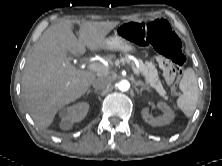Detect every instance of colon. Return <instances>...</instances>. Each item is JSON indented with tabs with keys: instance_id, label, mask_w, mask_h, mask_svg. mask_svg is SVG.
I'll list each match as a JSON object with an SVG mask.
<instances>
[{
	"instance_id": "obj_1",
	"label": "colon",
	"mask_w": 222,
	"mask_h": 166,
	"mask_svg": "<svg viewBox=\"0 0 222 166\" xmlns=\"http://www.w3.org/2000/svg\"><path fill=\"white\" fill-rule=\"evenodd\" d=\"M126 40L140 46L151 45L161 54L160 67L168 84H175L183 73L186 57L181 42L169 23L162 19L148 22H130L119 29Z\"/></svg>"
}]
</instances>
